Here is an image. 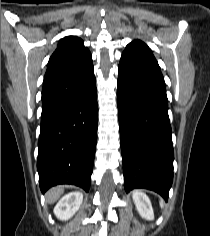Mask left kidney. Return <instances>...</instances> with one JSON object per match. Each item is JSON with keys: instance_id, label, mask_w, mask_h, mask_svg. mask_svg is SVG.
<instances>
[{"instance_id": "left-kidney-1", "label": "left kidney", "mask_w": 210, "mask_h": 236, "mask_svg": "<svg viewBox=\"0 0 210 236\" xmlns=\"http://www.w3.org/2000/svg\"><path fill=\"white\" fill-rule=\"evenodd\" d=\"M133 201L135 203L136 209L142 218L147 220L154 219V213L150 199L146 194L140 191H134L132 194Z\"/></svg>"}]
</instances>
